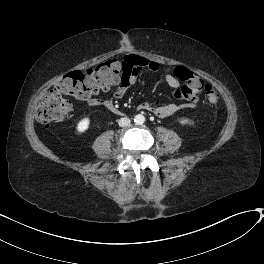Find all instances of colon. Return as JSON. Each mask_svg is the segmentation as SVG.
Here are the masks:
<instances>
[{
    "mask_svg": "<svg viewBox=\"0 0 264 264\" xmlns=\"http://www.w3.org/2000/svg\"><path fill=\"white\" fill-rule=\"evenodd\" d=\"M129 60V56L123 59H109L92 69L72 71L60 77L42 95L36 109L37 120L44 125H51L67 117L72 110V104L67 96L84 98L107 89L115 83L120 71L126 67ZM174 74L185 82V85L175 92L176 98L190 100L199 93L202 81L197 76L183 68H177ZM204 92L209 105L213 106L219 102L220 94L214 87L205 85Z\"/></svg>",
    "mask_w": 264,
    "mask_h": 264,
    "instance_id": "colon-1",
    "label": "colon"
}]
</instances>
